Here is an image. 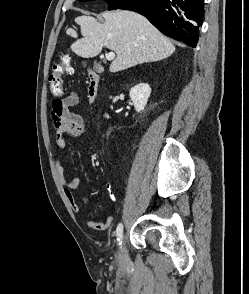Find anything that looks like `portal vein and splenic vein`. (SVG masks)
<instances>
[{"instance_id": "obj_1", "label": "portal vein and splenic vein", "mask_w": 249, "mask_h": 294, "mask_svg": "<svg viewBox=\"0 0 249 294\" xmlns=\"http://www.w3.org/2000/svg\"><path fill=\"white\" fill-rule=\"evenodd\" d=\"M105 56H106V59L108 61H111V60H113L115 58V53L114 52H108V53H106Z\"/></svg>"}]
</instances>
